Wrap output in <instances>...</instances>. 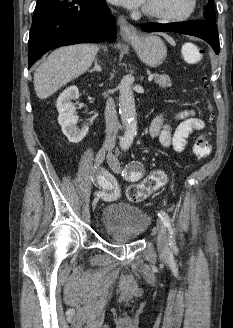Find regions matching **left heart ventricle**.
Listing matches in <instances>:
<instances>
[{
    "mask_svg": "<svg viewBox=\"0 0 233 328\" xmlns=\"http://www.w3.org/2000/svg\"><path fill=\"white\" fill-rule=\"evenodd\" d=\"M189 0H146L144 8L168 15H180L188 8Z\"/></svg>",
    "mask_w": 233,
    "mask_h": 328,
    "instance_id": "b2bd125f",
    "label": "left heart ventricle"
}]
</instances>
